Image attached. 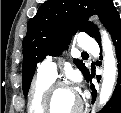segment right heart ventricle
<instances>
[{"instance_id": "right-heart-ventricle-1", "label": "right heart ventricle", "mask_w": 121, "mask_h": 113, "mask_svg": "<svg viewBox=\"0 0 121 113\" xmlns=\"http://www.w3.org/2000/svg\"><path fill=\"white\" fill-rule=\"evenodd\" d=\"M54 79L37 74L30 97V109H45V91Z\"/></svg>"}]
</instances>
